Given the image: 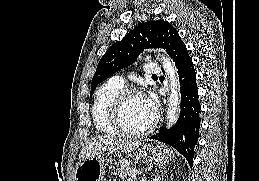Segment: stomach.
<instances>
[{"instance_id": "stomach-1", "label": "stomach", "mask_w": 259, "mask_h": 181, "mask_svg": "<svg viewBox=\"0 0 259 181\" xmlns=\"http://www.w3.org/2000/svg\"><path fill=\"white\" fill-rule=\"evenodd\" d=\"M105 156L104 152L86 155L78 163L74 181H102L107 160ZM172 157V151L162 144L145 143L137 152V159L150 167L168 163Z\"/></svg>"}]
</instances>
